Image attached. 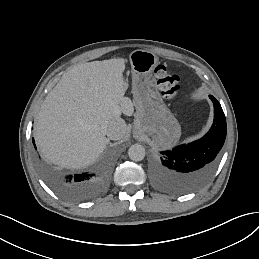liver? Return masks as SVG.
I'll return each mask as SVG.
<instances>
[{"mask_svg":"<svg viewBox=\"0 0 259 259\" xmlns=\"http://www.w3.org/2000/svg\"><path fill=\"white\" fill-rule=\"evenodd\" d=\"M123 58L93 61L64 73L48 93L33 125L41 157L63 168H81L95 161L109 139L100 126L131 116L124 97Z\"/></svg>","mask_w":259,"mask_h":259,"instance_id":"6515ba94","label":"liver"}]
</instances>
